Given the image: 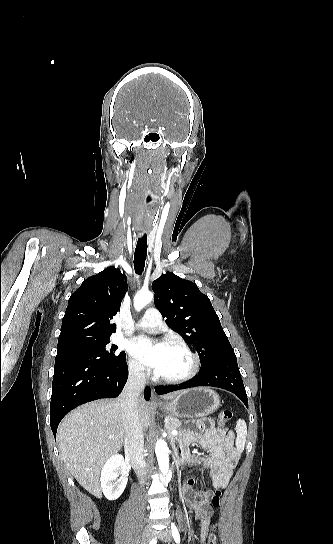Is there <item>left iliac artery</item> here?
<instances>
[{
  "label": "left iliac artery",
  "mask_w": 333,
  "mask_h": 544,
  "mask_svg": "<svg viewBox=\"0 0 333 544\" xmlns=\"http://www.w3.org/2000/svg\"><path fill=\"white\" fill-rule=\"evenodd\" d=\"M171 531H172V535H173V538L175 540V542L177 544L180 543V534H179V531L176 527V525L174 523H171Z\"/></svg>",
  "instance_id": "obj_1"
}]
</instances>
